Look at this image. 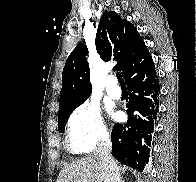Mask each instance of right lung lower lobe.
Here are the masks:
<instances>
[{"mask_svg": "<svg viewBox=\"0 0 196 182\" xmlns=\"http://www.w3.org/2000/svg\"><path fill=\"white\" fill-rule=\"evenodd\" d=\"M129 90L126 124H114L112 155L139 171L149 161L151 137L158 112L160 86L151 55L125 77Z\"/></svg>", "mask_w": 196, "mask_h": 182, "instance_id": "right-lung-lower-lobe-1", "label": "right lung lower lobe"}]
</instances>
